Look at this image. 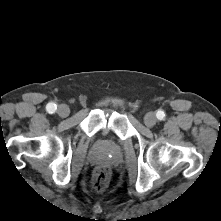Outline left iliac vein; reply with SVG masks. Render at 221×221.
Wrapping results in <instances>:
<instances>
[{
  "label": "left iliac vein",
  "instance_id": "left-iliac-vein-1",
  "mask_svg": "<svg viewBox=\"0 0 221 221\" xmlns=\"http://www.w3.org/2000/svg\"><path fill=\"white\" fill-rule=\"evenodd\" d=\"M144 122L146 126L153 127L157 122L155 114L153 112L147 113L144 117Z\"/></svg>",
  "mask_w": 221,
  "mask_h": 221
}]
</instances>
